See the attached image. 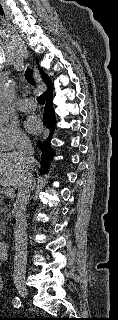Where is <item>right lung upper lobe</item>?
Returning <instances> with one entry per match:
<instances>
[{
  "label": "right lung upper lobe",
  "mask_w": 118,
  "mask_h": 320,
  "mask_svg": "<svg viewBox=\"0 0 118 320\" xmlns=\"http://www.w3.org/2000/svg\"><path fill=\"white\" fill-rule=\"evenodd\" d=\"M37 62H39V60H37ZM39 70H40V72H41V74H42V77L45 79V83H46L47 86H48V90H47V92L44 94V95H46V94L52 92V83H51V81L48 79V77H46V75L43 73V71H42L40 68H39Z\"/></svg>",
  "instance_id": "obj_1"
}]
</instances>
